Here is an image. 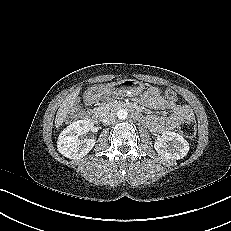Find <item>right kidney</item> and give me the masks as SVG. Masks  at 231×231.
I'll list each match as a JSON object with an SVG mask.
<instances>
[{
    "instance_id": "1",
    "label": "right kidney",
    "mask_w": 231,
    "mask_h": 231,
    "mask_svg": "<svg viewBox=\"0 0 231 231\" xmlns=\"http://www.w3.org/2000/svg\"><path fill=\"white\" fill-rule=\"evenodd\" d=\"M93 127L90 120H78L67 126L59 135L58 151L69 159H79L87 155L95 145V139L80 140L79 136Z\"/></svg>"
}]
</instances>
